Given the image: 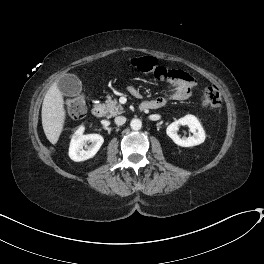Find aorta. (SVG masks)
<instances>
[{
    "label": "aorta",
    "instance_id": "obj_1",
    "mask_svg": "<svg viewBox=\"0 0 264 264\" xmlns=\"http://www.w3.org/2000/svg\"><path fill=\"white\" fill-rule=\"evenodd\" d=\"M130 127L132 130H140L142 127V122L140 119H132L130 122Z\"/></svg>",
    "mask_w": 264,
    "mask_h": 264
}]
</instances>
